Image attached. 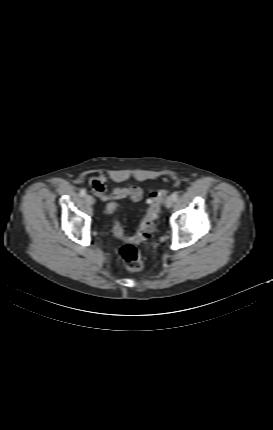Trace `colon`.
<instances>
[{"label": "colon", "mask_w": 273, "mask_h": 430, "mask_svg": "<svg viewBox=\"0 0 273 430\" xmlns=\"http://www.w3.org/2000/svg\"><path fill=\"white\" fill-rule=\"evenodd\" d=\"M168 191L165 189L153 192L148 199V207L145 214L140 219L136 233L126 238L124 235V228L115 220L113 226L114 234L119 237L126 239V242L122 245L119 250V256L129 270L137 271L142 269L143 262L140 253L136 247V244L144 242L155 229L154 222L158 218L161 204L164 198L167 196ZM118 204L113 202L107 205L106 211L108 213H113Z\"/></svg>", "instance_id": "obj_1"}]
</instances>
